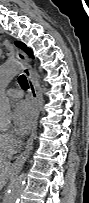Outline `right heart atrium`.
Here are the masks:
<instances>
[{"mask_svg": "<svg viewBox=\"0 0 89 203\" xmlns=\"http://www.w3.org/2000/svg\"><path fill=\"white\" fill-rule=\"evenodd\" d=\"M4 138H5V141L6 143L13 149L16 148L17 144H18V139L17 137L11 133V132H5L4 133Z\"/></svg>", "mask_w": 89, "mask_h": 203, "instance_id": "d8ad5b80", "label": "right heart atrium"}]
</instances>
